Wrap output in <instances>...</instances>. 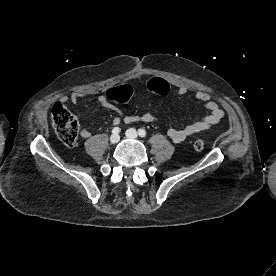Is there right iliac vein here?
I'll use <instances>...</instances> for the list:
<instances>
[{"label": "right iliac vein", "mask_w": 276, "mask_h": 276, "mask_svg": "<svg viewBox=\"0 0 276 276\" xmlns=\"http://www.w3.org/2000/svg\"><path fill=\"white\" fill-rule=\"evenodd\" d=\"M120 140V136L118 134H112L110 137L111 144H116Z\"/></svg>", "instance_id": "63e3f726"}]
</instances>
